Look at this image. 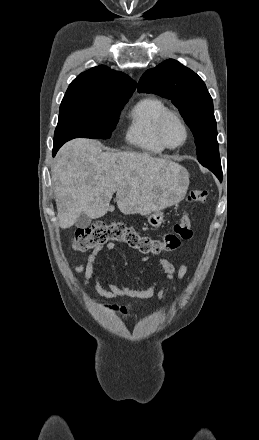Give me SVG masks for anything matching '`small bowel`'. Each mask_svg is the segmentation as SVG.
Returning a JSON list of instances; mask_svg holds the SVG:
<instances>
[{"label":"small bowel","mask_w":259,"mask_h":440,"mask_svg":"<svg viewBox=\"0 0 259 440\" xmlns=\"http://www.w3.org/2000/svg\"><path fill=\"white\" fill-rule=\"evenodd\" d=\"M106 249L111 251L115 248V244L110 242L106 244ZM103 247L95 248L87 258L85 264H78L74 267L75 272L84 274V285L87 287L90 285V281L97 272V260ZM149 257H143V261H147ZM176 258H159L157 264L162 272L165 273L166 278L170 281L174 278L182 280L188 271V266L183 264L178 270L175 268ZM158 280L152 282L150 286L145 289H132L123 283L113 284L107 283V288H104L100 281L96 279L95 288L97 293L104 298H116V297H129L137 299H148L156 295L158 299H163L166 289L162 287L157 291ZM105 310L116 313L122 316L127 315L131 311L130 305L117 306L110 304L101 305Z\"/></svg>","instance_id":"c3829d8e"}]
</instances>
